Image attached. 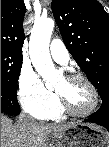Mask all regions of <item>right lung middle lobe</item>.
Returning <instances> with one entry per match:
<instances>
[{"label":"right lung middle lobe","instance_id":"1","mask_svg":"<svg viewBox=\"0 0 109 147\" xmlns=\"http://www.w3.org/2000/svg\"><path fill=\"white\" fill-rule=\"evenodd\" d=\"M22 60V55L1 49V91L15 98Z\"/></svg>","mask_w":109,"mask_h":147}]
</instances>
